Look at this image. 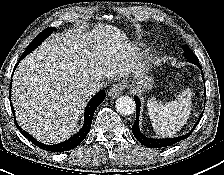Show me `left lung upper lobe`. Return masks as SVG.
Segmentation results:
<instances>
[{
  "label": "left lung upper lobe",
  "instance_id": "obj_1",
  "mask_svg": "<svg viewBox=\"0 0 224 175\" xmlns=\"http://www.w3.org/2000/svg\"><path fill=\"white\" fill-rule=\"evenodd\" d=\"M184 56L188 59L190 63H197L199 62L198 58L196 55L191 51V49L185 45L184 46Z\"/></svg>",
  "mask_w": 224,
  "mask_h": 175
}]
</instances>
